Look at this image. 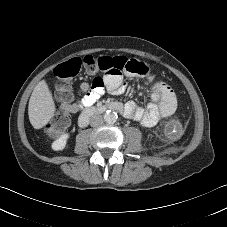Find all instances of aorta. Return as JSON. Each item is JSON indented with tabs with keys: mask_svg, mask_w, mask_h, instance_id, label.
Returning <instances> with one entry per match:
<instances>
[{
	"mask_svg": "<svg viewBox=\"0 0 227 227\" xmlns=\"http://www.w3.org/2000/svg\"><path fill=\"white\" fill-rule=\"evenodd\" d=\"M118 115L116 112L107 110L103 116V119L106 123L113 124L117 121Z\"/></svg>",
	"mask_w": 227,
	"mask_h": 227,
	"instance_id": "762f6f07",
	"label": "aorta"
}]
</instances>
